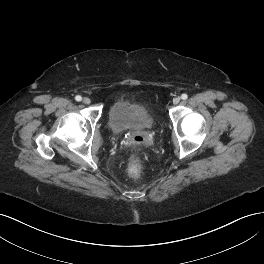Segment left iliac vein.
Returning <instances> with one entry per match:
<instances>
[{"label":"left iliac vein","instance_id":"left-iliac-vein-1","mask_svg":"<svg viewBox=\"0 0 264 264\" xmlns=\"http://www.w3.org/2000/svg\"><path fill=\"white\" fill-rule=\"evenodd\" d=\"M180 97H175L174 99H173V103L175 104V105H177L179 102H180Z\"/></svg>","mask_w":264,"mask_h":264}]
</instances>
